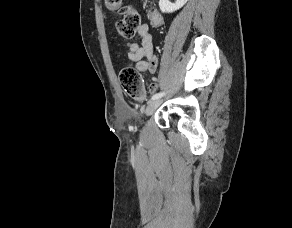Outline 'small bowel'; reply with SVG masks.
<instances>
[{"mask_svg": "<svg viewBox=\"0 0 292 228\" xmlns=\"http://www.w3.org/2000/svg\"><path fill=\"white\" fill-rule=\"evenodd\" d=\"M128 61L131 67L136 68L140 73L146 71L154 74L157 70V58L153 52V37L148 24H143L137 31L133 41L127 43ZM158 89L157 81L149 86L151 93Z\"/></svg>", "mask_w": 292, "mask_h": 228, "instance_id": "small-bowel-1", "label": "small bowel"}]
</instances>
